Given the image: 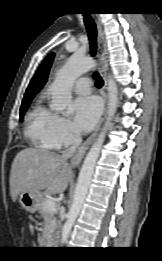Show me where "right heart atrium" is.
<instances>
[{"instance_id": "d8ad5b80", "label": "right heart atrium", "mask_w": 162, "mask_h": 261, "mask_svg": "<svg viewBox=\"0 0 162 261\" xmlns=\"http://www.w3.org/2000/svg\"><path fill=\"white\" fill-rule=\"evenodd\" d=\"M50 135L56 148L74 145L79 139L70 120L58 115L51 123Z\"/></svg>"}]
</instances>
